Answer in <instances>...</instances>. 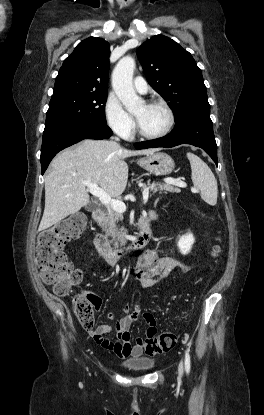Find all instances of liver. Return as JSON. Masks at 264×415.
I'll list each match as a JSON object with an SVG mask.
<instances>
[{
  "label": "liver",
  "instance_id": "obj_1",
  "mask_svg": "<svg viewBox=\"0 0 264 415\" xmlns=\"http://www.w3.org/2000/svg\"><path fill=\"white\" fill-rule=\"evenodd\" d=\"M157 148L127 150L113 141L86 139L59 153L45 176V208L39 231L46 230L89 203L83 182L98 184L109 196H120L127 185L125 158L149 155Z\"/></svg>",
  "mask_w": 264,
  "mask_h": 415
}]
</instances>
